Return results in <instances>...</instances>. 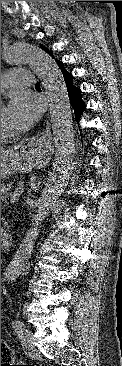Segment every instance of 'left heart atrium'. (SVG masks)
<instances>
[{"mask_svg": "<svg viewBox=\"0 0 122 366\" xmlns=\"http://www.w3.org/2000/svg\"><path fill=\"white\" fill-rule=\"evenodd\" d=\"M40 106L28 92L17 91L6 108V118L15 131H26L38 120Z\"/></svg>", "mask_w": 122, "mask_h": 366, "instance_id": "1", "label": "left heart atrium"}]
</instances>
